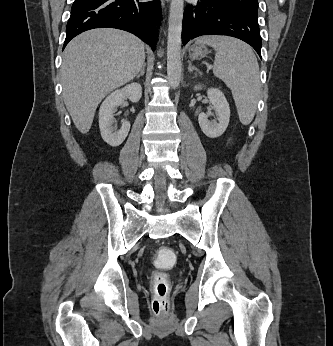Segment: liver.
I'll return each instance as SVG.
<instances>
[{"label": "liver", "instance_id": "6515ba94", "mask_svg": "<svg viewBox=\"0 0 333 346\" xmlns=\"http://www.w3.org/2000/svg\"><path fill=\"white\" fill-rule=\"evenodd\" d=\"M144 61V43L125 31L93 29L70 41L61 66L63 98L81 133L90 130L101 100L131 81Z\"/></svg>", "mask_w": 333, "mask_h": 346}]
</instances>
